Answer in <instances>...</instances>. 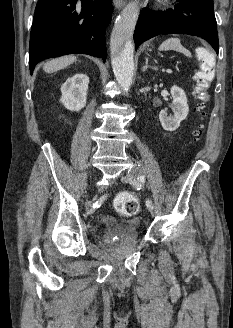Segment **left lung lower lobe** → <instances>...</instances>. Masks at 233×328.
Instances as JSON below:
<instances>
[{"label": "left lung lower lobe", "instance_id": "1", "mask_svg": "<svg viewBox=\"0 0 233 328\" xmlns=\"http://www.w3.org/2000/svg\"><path fill=\"white\" fill-rule=\"evenodd\" d=\"M177 1L179 4L174 10L142 11L134 32L135 49L140 43L156 35L175 33L204 38L218 54L217 22L213 3L207 0Z\"/></svg>", "mask_w": 233, "mask_h": 328}]
</instances>
